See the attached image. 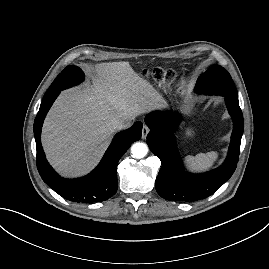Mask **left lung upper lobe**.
Here are the masks:
<instances>
[{
  "label": "left lung upper lobe",
  "instance_id": "left-lung-upper-lobe-1",
  "mask_svg": "<svg viewBox=\"0 0 269 269\" xmlns=\"http://www.w3.org/2000/svg\"><path fill=\"white\" fill-rule=\"evenodd\" d=\"M197 89L207 94L230 96L238 99V93L230 74L217 64H214L200 76Z\"/></svg>",
  "mask_w": 269,
  "mask_h": 269
}]
</instances>
